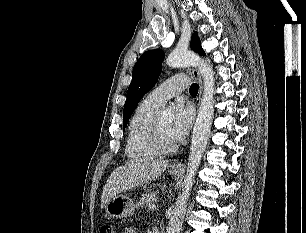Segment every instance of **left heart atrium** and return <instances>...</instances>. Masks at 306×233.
<instances>
[{"label":"left heart atrium","mask_w":306,"mask_h":233,"mask_svg":"<svg viewBox=\"0 0 306 233\" xmlns=\"http://www.w3.org/2000/svg\"><path fill=\"white\" fill-rule=\"evenodd\" d=\"M194 113L190 106L183 102H177L173 108V119L169 126V137L176 143L182 141L188 134L192 123Z\"/></svg>","instance_id":"39dd6f15"}]
</instances>
